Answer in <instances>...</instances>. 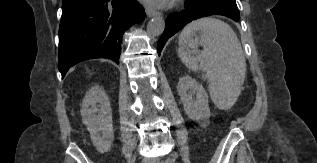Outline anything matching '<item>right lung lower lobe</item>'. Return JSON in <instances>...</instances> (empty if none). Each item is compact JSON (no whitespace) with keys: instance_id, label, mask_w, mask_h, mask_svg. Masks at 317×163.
<instances>
[{"instance_id":"right-lung-lower-lobe-1","label":"right lung lower lobe","mask_w":317,"mask_h":163,"mask_svg":"<svg viewBox=\"0 0 317 163\" xmlns=\"http://www.w3.org/2000/svg\"><path fill=\"white\" fill-rule=\"evenodd\" d=\"M144 17L135 0L63 1L58 54L62 78L71 66L87 59L119 63L124 32Z\"/></svg>"}]
</instances>
